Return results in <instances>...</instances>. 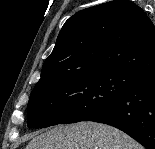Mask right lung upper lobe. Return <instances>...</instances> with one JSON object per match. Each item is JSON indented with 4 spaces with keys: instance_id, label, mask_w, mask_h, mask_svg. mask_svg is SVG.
I'll use <instances>...</instances> for the list:
<instances>
[{
    "instance_id": "cb5924a9",
    "label": "right lung upper lobe",
    "mask_w": 155,
    "mask_h": 149,
    "mask_svg": "<svg viewBox=\"0 0 155 149\" xmlns=\"http://www.w3.org/2000/svg\"><path fill=\"white\" fill-rule=\"evenodd\" d=\"M121 69L155 72V26L135 3L114 0L79 11L65 22L38 82Z\"/></svg>"
}]
</instances>
